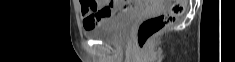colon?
Returning a JSON list of instances; mask_svg holds the SVG:
<instances>
[{"label":"colon","mask_w":235,"mask_h":62,"mask_svg":"<svg viewBox=\"0 0 235 62\" xmlns=\"http://www.w3.org/2000/svg\"><path fill=\"white\" fill-rule=\"evenodd\" d=\"M169 9L159 15L144 19L136 29V42L144 48L151 38L163 28L173 24L186 8V0H171Z\"/></svg>","instance_id":"1"}]
</instances>
